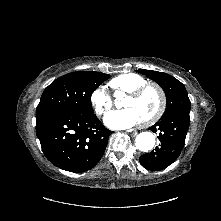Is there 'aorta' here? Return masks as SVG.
Masks as SVG:
<instances>
[{"label": "aorta", "mask_w": 221, "mask_h": 221, "mask_svg": "<svg viewBox=\"0 0 221 221\" xmlns=\"http://www.w3.org/2000/svg\"><path fill=\"white\" fill-rule=\"evenodd\" d=\"M136 148L142 152H148L155 145V136L151 132H142L136 137Z\"/></svg>", "instance_id": "aorta-1"}]
</instances>
